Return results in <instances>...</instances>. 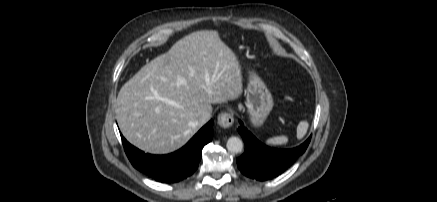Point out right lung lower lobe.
<instances>
[{
	"label": "right lung lower lobe",
	"instance_id": "right-lung-lower-lobe-1",
	"mask_svg": "<svg viewBox=\"0 0 437 202\" xmlns=\"http://www.w3.org/2000/svg\"><path fill=\"white\" fill-rule=\"evenodd\" d=\"M121 137L126 155L137 170L156 181L175 183L191 176L198 168L202 149L213 137V121L204 125L185 146L168 155L145 154Z\"/></svg>",
	"mask_w": 437,
	"mask_h": 202
}]
</instances>
